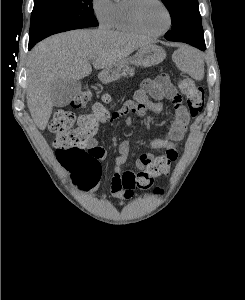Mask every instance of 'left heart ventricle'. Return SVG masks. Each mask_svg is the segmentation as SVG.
Returning a JSON list of instances; mask_svg holds the SVG:
<instances>
[{
	"mask_svg": "<svg viewBox=\"0 0 245 300\" xmlns=\"http://www.w3.org/2000/svg\"><path fill=\"white\" fill-rule=\"evenodd\" d=\"M142 20L145 27L153 32L163 30L167 25L164 9L153 0H148L142 8Z\"/></svg>",
	"mask_w": 245,
	"mask_h": 300,
	"instance_id": "b2bd125f",
	"label": "left heart ventricle"
}]
</instances>
